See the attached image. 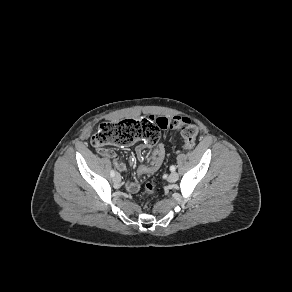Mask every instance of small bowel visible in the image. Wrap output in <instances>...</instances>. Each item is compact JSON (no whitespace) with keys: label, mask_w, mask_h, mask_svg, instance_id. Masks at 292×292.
I'll return each mask as SVG.
<instances>
[{"label":"small bowel","mask_w":292,"mask_h":292,"mask_svg":"<svg viewBox=\"0 0 292 292\" xmlns=\"http://www.w3.org/2000/svg\"><path fill=\"white\" fill-rule=\"evenodd\" d=\"M145 146H147L150 149V157L147 164L140 165L137 168L138 175L150 174V173L155 172L161 166L164 159L165 151H164V146L162 143H159V142L151 143V142L146 141ZM140 150L141 148L138 149V152ZM98 151L101 155L112 159L117 169H119L122 172L127 171L126 162L120 159L114 151L110 149H101ZM129 163L131 165L135 163V158L133 156L130 157ZM125 187L128 192L136 193L138 192L140 186L135 181H126Z\"/></svg>","instance_id":"small-bowel-1"}]
</instances>
